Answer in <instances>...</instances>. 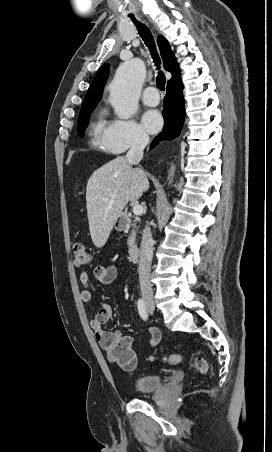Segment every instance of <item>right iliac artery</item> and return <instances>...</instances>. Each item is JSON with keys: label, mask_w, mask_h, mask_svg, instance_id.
I'll use <instances>...</instances> for the list:
<instances>
[{"label": "right iliac artery", "mask_w": 272, "mask_h": 452, "mask_svg": "<svg viewBox=\"0 0 272 452\" xmlns=\"http://www.w3.org/2000/svg\"><path fill=\"white\" fill-rule=\"evenodd\" d=\"M137 306H138L139 314L142 317V319L143 320H147L148 319V312H147V309H146L144 301L142 299H139L138 303H137Z\"/></svg>", "instance_id": "right-iliac-artery-1"}]
</instances>
